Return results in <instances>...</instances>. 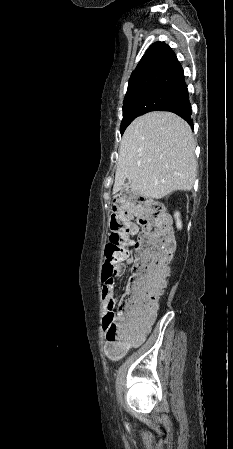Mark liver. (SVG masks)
<instances>
[{"instance_id":"obj_1","label":"liver","mask_w":233,"mask_h":449,"mask_svg":"<svg viewBox=\"0 0 233 449\" xmlns=\"http://www.w3.org/2000/svg\"><path fill=\"white\" fill-rule=\"evenodd\" d=\"M194 150L190 126L174 113L138 117L122 137L113 193L122 190L126 179L131 191L146 198L191 190L197 175Z\"/></svg>"}]
</instances>
